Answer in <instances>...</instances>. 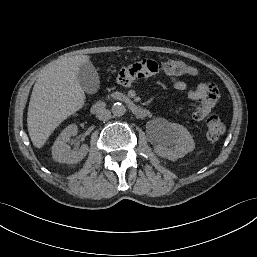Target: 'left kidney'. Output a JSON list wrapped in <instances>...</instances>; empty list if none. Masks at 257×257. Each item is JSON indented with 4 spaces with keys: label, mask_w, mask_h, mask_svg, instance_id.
I'll return each instance as SVG.
<instances>
[{
    "label": "left kidney",
    "mask_w": 257,
    "mask_h": 257,
    "mask_svg": "<svg viewBox=\"0 0 257 257\" xmlns=\"http://www.w3.org/2000/svg\"><path fill=\"white\" fill-rule=\"evenodd\" d=\"M195 142L190 132L177 123H167L157 137L155 152L163 158L177 160L193 151Z\"/></svg>",
    "instance_id": "5707ae66"
}]
</instances>
